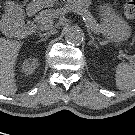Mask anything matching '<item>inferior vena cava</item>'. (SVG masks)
Masks as SVG:
<instances>
[{
	"label": "inferior vena cava",
	"instance_id": "inferior-vena-cava-1",
	"mask_svg": "<svg viewBox=\"0 0 135 135\" xmlns=\"http://www.w3.org/2000/svg\"><path fill=\"white\" fill-rule=\"evenodd\" d=\"M55 33H56V31L54 30V31H50V32H46V33L40 34V36H49V35L55 34Z\"/></svg>",
	"mask_w": 135,
	"mask_h": 135
}]
</instances>
